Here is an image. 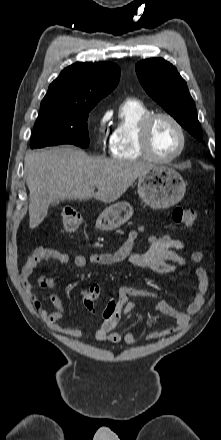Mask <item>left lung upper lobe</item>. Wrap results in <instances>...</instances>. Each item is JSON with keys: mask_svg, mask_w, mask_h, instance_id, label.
<instances>
[{"mask_svg": "<svg viewBox=\"0 0 221 440\" xmlns=\"http://www.w3.org/2000/svg\"><path fill=\"white\" fill-rule=\"evenodd\" d=\"M135 68L147 94L192 136L202 141L203 133L194 101L177 69L162 58L140 61Z\"/></svg>", "mask_w": 221, "mask_h": 440, "instance_id": "5c2ea615", "label": "left lung upper lobe"}]
</instances>
